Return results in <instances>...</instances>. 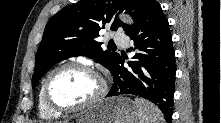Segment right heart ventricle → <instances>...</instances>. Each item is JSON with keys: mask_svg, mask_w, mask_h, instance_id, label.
Instances as JSON below:
<instances>
[{"mask_svg": "<svg viewBox=\"0 0 221 123\" xmlns=\"http://www.w3.org/2000/svg\"><path fill=\"white\" fill-rule=\"evenodd\" d=\"M38 110L40 116L43 119H55L60 116V113L53 111L46 105L42 95V87L39 91V96H38Z\"/></svg>", "mask_w": 221, "mask_h": 123, "instance_id": "obj_1", "label": "right heart ventricle"}]
</instances>
